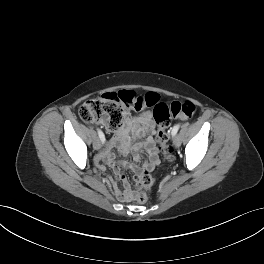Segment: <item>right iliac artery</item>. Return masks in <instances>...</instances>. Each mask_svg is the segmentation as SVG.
<instances>
[{"mask_svg": "<svg viewBox=\"0 0 264 264\" xmlns=\"http://www.w3.org/2000/svg\"><path fill=\"white\" fill-rule=\"evenodd\" d=\"M97 130H98L99 138L102 141V143L104 144L105 143V136L101 130H99V129H97Z\"/></svg>", "mask_w": 264, "mask_h": 264, "instance_id": "1", "label": "right iliac artery"}]
</instances>
